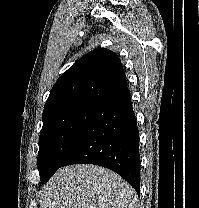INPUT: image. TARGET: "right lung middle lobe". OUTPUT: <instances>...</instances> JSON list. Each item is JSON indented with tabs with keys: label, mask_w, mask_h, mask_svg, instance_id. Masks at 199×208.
<instances>
[{
	"label": "right lung middle lobe",
	"mask_w": 199,
	"mask_h": 208,
	"mask_svg": "<svg viewBox=\"0 0 199 208\" xmlns=\"http://www.w3.org/2000/svg\"><path fill=\"white\" fill-rule=\"evenodd\" d=\"M99 109L97 106L73 108L43 121L37 158L42 183L61 166Z\"/></svg>",
	"instance_id": "dd1d6c3e"
}]
</instances>
